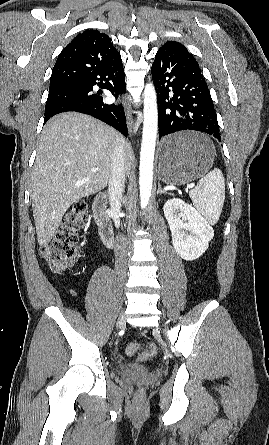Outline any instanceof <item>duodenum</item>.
I'll use <instances>...</instances> for the list:
<instances>
[{
	"mask_svg": "<svg viewBox=\"0 0 269 445\" xmlns=\"http://www.w3.org/2000/svg\"><path fill=\"white\" fill-rule=\"evenodd\" d=\"M107 195L99 193L93 202V216L99 229L102 241L112 247L114 243V230L106 214Z\"/></svg>",
	"mask_w": 269,
	"mask_h": 445,
	"instance_id": "410a0bca",
	"label": "duodenum"
}]
</instances>
